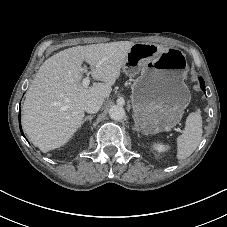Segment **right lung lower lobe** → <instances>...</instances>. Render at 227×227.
<instances>
[{"mask_svg": "<svg viewBox=\"0 0 227 227\" xmlns=\"http://www.w3.org/2000/svg\"><path fill=\"white\" fill-rule=\"evenodd\" d=\"M20 119H21V114L19 113V123H20ZM20 125V131H21V133H22V135H23V131H22V128H21V124H19Z\"/></svg>", "mask_w": 227, "mask_h": 227, "instance_id": "obj_1", "label": "right lung lower lobe"}]
</instances>
